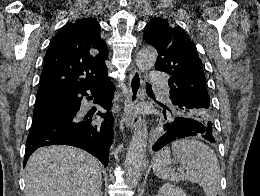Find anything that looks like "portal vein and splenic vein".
I'll return each instance as SVG.
<instances>
[{
  "label": "portal vein and splenic vein",
  "instance_id": "1",
  "mask_svg": "<svg viewBox=\"0 0 260 196\" xmlns=\"http://www.w3.org/2000/svg\"><path fill=\"white\" fill-rule=\"evenodd\" d=\"M179 172H181V174H183L184 170H179Z\"/></svg>",
  "mask_w": 260,
  "mask_h": 196
}]
</instances>
